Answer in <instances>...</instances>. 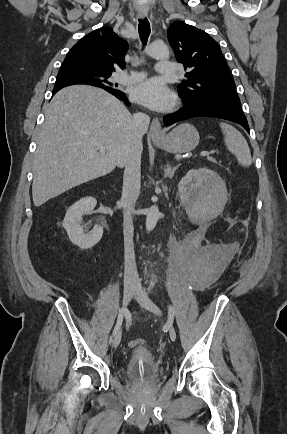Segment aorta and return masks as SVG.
<instances>
[{
    "label": "aorta",
    "mask_w": 287,
    "mask_h": 434,
    "mask_svg": "<svg viewBox=\"0 0 287 434\" xmlns=\"http://www.w3.org/2000/svg\"><path fill=\"white\" fill-rule=\"evenodd\" d=\"M147 54L153 58H159V59L168 58L169 48L167 47L166 44L162 42H154L148 47ZM159 217H160V212L158 206L153 205L147 210L145 225H146V230L148 232L152 231L155 228L159 220Z\"/></svg>",
    "instance_id": "1"
}]
</instances>
